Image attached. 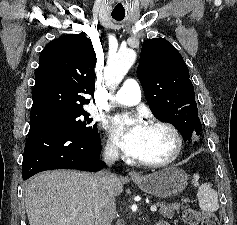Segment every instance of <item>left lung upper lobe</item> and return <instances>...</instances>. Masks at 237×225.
I'll return each instance as SVG.
<instances>
[{"mask_svg":"<svg viewBox=\"0 0 237 225\" xmlns=\"http://www.w3.org/2000/svg\"><path fill=\"white\" fill-rule=\"evenodd\" d=\"M137 75L149 107L160 121L173 124L183 134L199 119L188 67L166 39L143 43Z\"/></svg>","mask_w":237,"mask_h":225,"instance_id":"1","label":"left lung upper lobe"}]
</instances>
